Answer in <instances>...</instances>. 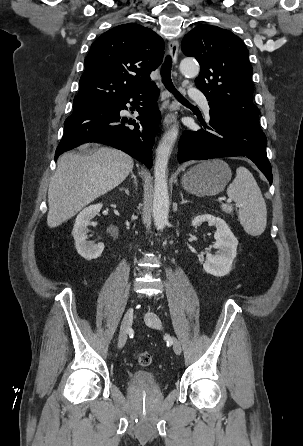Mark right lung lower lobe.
Instances as JSON below:
<instances>
[{"instance_id":"98d812e1","label":"right lung lower lobe","mask_w":303,"mask_h":446,"mask_svg":"<svg viewBox=\"0 0 303 446\" xmlns=\"http://www.w3.org/2000/svg\"><path fill=\"white\" fill-rule=\"evenodd\" d=\"M158 94L159 89L155 86L127 98L73 112L65 120L64 135L56 149L55 161L62 153L83 143L98 142L120 149L151 168V149L160 121L156 104ZM127 103L137 107V119L120 117L119 112L127 109Z\"/></svg>"}]
</instances>
